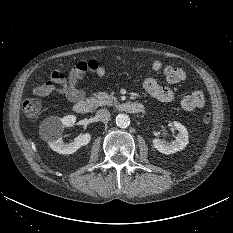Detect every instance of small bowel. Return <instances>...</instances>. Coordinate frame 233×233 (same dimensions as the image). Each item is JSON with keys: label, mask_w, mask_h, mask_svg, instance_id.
Here are the masks:
<instances>
[{"label": "small bowel", "mask_w": 233, "mask_h": 233, "mask_svg": "<svg viewBox=\"0 0 233 233\" xmlns=\"http://www.w3.org/2000/svg\"><path fill=\"white\" fill-rule=\"evenodd\" d=\"M150 66L154 71L162 70L167 82L170 84L180 83L186 78V74L182 69L172 65L163 66L159 60L151 61ZM88 73H93L97 77H104L107 70L95 59L80 61L70 70L67 76L59 70L53 71L49 80L37 86L34 93L38 96H47L52 92H58L71 102L77 101L86 94V89L81 87L80 84ZM143 88L150 96L161 102L174 100L173 91L168 87L161 86L152 77L145 78ZM181 106L186 111L203 108L205 106L204 92L200 89L192 90L182 98Z\"/></svg>", "instance_id": "c3829d8e"}]
</instances>
